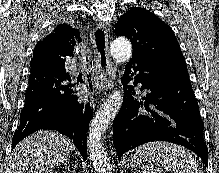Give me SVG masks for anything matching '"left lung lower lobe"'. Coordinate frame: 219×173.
I'll list each match as a JSON object with an SVG mask.
<instances>
[{"mask_svg":"<svg viewBox=\"0 0 219 173\" xmlns=\"http://www.w3.org/2000/svg\"><path fill=\"white\" fill-rule=\"evenodd\" d=\"M142 84L149 94L135 100L132 86H126L122 107L113 122V143L119 157L143 143L163 140L185 146L208 165L203 140L204 123L188 73H175L166 65L144 57H132L122 81Z\"/></svg>","mask_w":219,"mask_h":173,"instance_id":"1","label":"left lung lower lobe"}]
</instances>
